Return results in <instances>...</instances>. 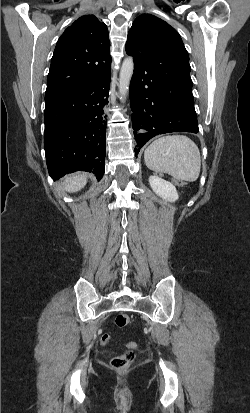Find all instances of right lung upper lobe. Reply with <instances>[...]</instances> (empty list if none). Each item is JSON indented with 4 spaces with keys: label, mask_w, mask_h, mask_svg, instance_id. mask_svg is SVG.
Wrapping results in <instances>:
<instances>
[{
    "label": "right lung upper lobe",
    "mask_w": 250,
    "mask_h": 413,
    "mask_svg": "<svg viewBox=\"0 0 250 413\" xmlns=\"http://www.w3.org/2000/svg\"><path fill=\"white\" fill-rule=\"evenodd\" d=\"M108 29L93 15H84L59 38L51 60L46 93L84 85L110 70Z\"/></svg>",
    "instance_id": "1"
}]
</instances>
